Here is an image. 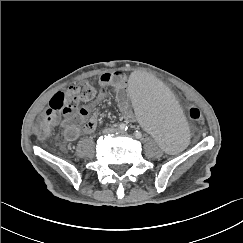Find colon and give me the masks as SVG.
Returning <instances> with one entry per match:
<instances>
[{
  "label": "colon",
  "mask_w": 243,
  "mask_h": 243,
  "mask_svg": "<svg viewBox=\"0 0 243 243\" xmlns=\"http://www.w3.org/2000/svg\"><path fill=\"white\" fill-rule=\"evenodd\" d=\"M97 95L98 91L95 87L86 81L55 94L45 109L43 120L38 125L36 134L40 138L48 137L61 113L74 112L81 103L91 101ZM186 112L193 123L198 125L203 123V117L198 108L189 105L186 108Z\"/></svg>",
  "instance_id": "obj_1"
}]
</instances>
